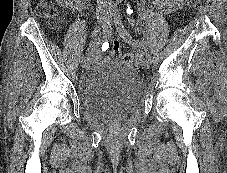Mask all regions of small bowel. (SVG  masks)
Here are the masks:
<instances>
[{
	"instance_id": "small-bowel-1",
	"label": "small bowel",
	"mask_w": 227,
	"mask_h": 173,
	"mask_svg": "<svg viewBox=\"0 0 227 173\" xmlns=\"http://www.w3.org/2000/svg\"><path fill=\"white\" fill-rule=\"evenodd\" d=\"M184 0H153V3L162 12H172L181 8ZM92 62L98 60L99 54L97 50H91L89 53Z\"/></svg>"
}]
</instances>
